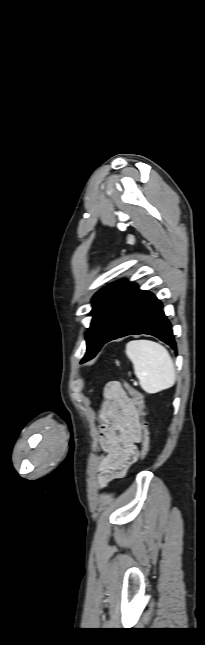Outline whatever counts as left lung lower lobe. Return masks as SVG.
Instances as JSON below:
<instances>
[{
    "label": "left lung lower lobe",
    "mask_w": 205,
    "mask_h": 645,
    "mask_svg": "<svg viewBox=\"0 0 205 645\" xmlns=\"http://www.w3.org/2000/svg\"><path fill=\"white\" fill-rule=\"evenodd\" d=\"M138 334L155 336L177 349L160 300L149 291L139 290L136 284L125 282L113 304L101 347L111 340Z\"/></svg>",
    "instance_id": "0a47b994"
}]
</instances>
